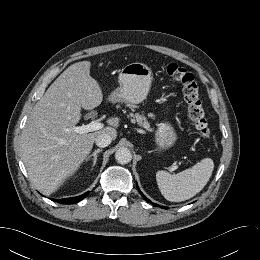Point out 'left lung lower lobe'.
Instances as JSON below:
<instances>
[{
    "instance_id": "left-lung-lower-lobe-1",
    "label": "left lung lower lobe",
    "mask_w": 260,
    "mask_h": 260,
    "mask_svg": "<svg viewBox=\"0 0 260 260\" xmlns=\"http://www.w3.org/2000/svg\"><path fill=\"white\" fill-rule=\"evenodd\" d=\"M137 189L139 190V188H138V186H137ZM140 191V190H139ZM141 193V192H140ZM141 195L145 198V200L147 201V202H149V203H152L150 200H148L142 193H141ZM153 204V203H152ZM154 206H157V205H155L154 204Z\"/></svg>"
}]
</instances>
